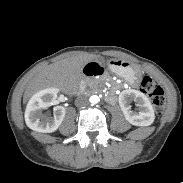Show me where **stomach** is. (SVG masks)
<instances>
[{"instance_id": "stomach-1", "label": "stomach", "mask_w": 183, "mask_h": 183, "mask_svg": "<svg viewBox=\"0 0 183 183\" xmlns=\"http://www.w3.org/2000/svg\"><path fill=\"white\" fill-rule=\"evenodd\" d=\"M109 70L124 78L129 84L136 85L142 78V70L122 59H110L107 63Z\"/></svg>"}]
</instances>
